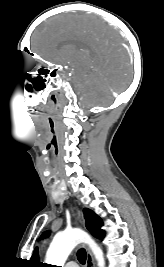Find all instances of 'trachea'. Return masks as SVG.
Wrapping results in <instances>:
<instances>
[{
    "label": "trachea",
    "instance_id": "3493384b",
    "mask_svg": "<svg viewBox=\"0 0 164 267\" xmlns=\"http://www.w3.org/2000/svg\"><path fill=\"white\" fill-rule=\"evenodd\" d=\"M86 258H87V255H86L85 249L83 248L79 249L77 252V259L79 260V262L81 264H85Z\"/></svg>",
    "mask_w": 164,
    "mask_h": 267
}]
</instances>
